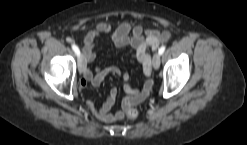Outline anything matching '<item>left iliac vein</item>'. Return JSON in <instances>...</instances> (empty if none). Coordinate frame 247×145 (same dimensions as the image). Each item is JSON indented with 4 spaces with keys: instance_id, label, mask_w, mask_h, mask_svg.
Returning a JSON list of instances; mask_svg holds the SVG:
<instances>
[{
    "instance_id": "4c4485c4",
    "label": "left iliac vein",
    "mask_w": 247,
    "mask_h": 145,
    "mask_svg": "<svg viewBox=\"0 0 247 145\" xmlns=\"http://www.w3.org/2000/svg\"><path fill=\"white\" fill-rule=\"evenodd\" d=\"M152 64H153L154 69L159 68V66H160V54H159V52L154 54Z\"/></svg>"
}]
</instances>
